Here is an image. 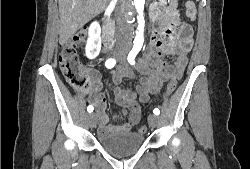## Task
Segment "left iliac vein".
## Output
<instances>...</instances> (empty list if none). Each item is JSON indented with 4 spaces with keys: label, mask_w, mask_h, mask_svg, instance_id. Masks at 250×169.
<instances>
[{
    "label": "left iliac vein",
    "mask_w": 250,
    "mask_h": 169,
    "mask_svg": "<svg viewBox=\"0 0 250 169\" xmlns=\"http://www.w3.org/2000/svg\"><path fill=\"white\" fill-rule=\"evenodd\" d=\"M148 123L151 127H156L159 123V118L158 116L151 114L148 116Z\"/></svg>",
    "instance_id": "4c4485c4"
}]
</instances>
